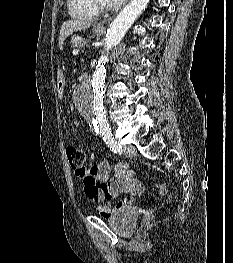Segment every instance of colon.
<instances>
[{"label": "colon", "mask_w": 233, "mask_h": 263, "mask_svg": "<svg viewBox=\"0 0 233 263\" xmlns=\"http://www.w3.org/2000/svg\"><path fill=\"white\" fill-rule=\"evenodd\" d=\"M66 156L69 161L70 166L76 171L78 176H85L88 174V168L84 165L85 162V153L83 150L75 147V146H67L66 147ZM121 170L122 167L119 166ZM159 194L165 195L167 194V185L163 183L159 186ZM172 197H170L171 199Z\"/></svg>", "instance_id": "1"}]
</instances>
